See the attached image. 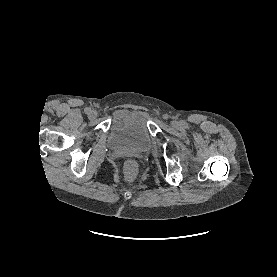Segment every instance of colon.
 Listing matches in <instances>:
<instances>
[{"label": "colon", "mask_w": 277, "mask_h": 277, "mask_svg": "<svg viewBox=\"0 0 277 277\" xmlns=\"http://www.w3.org/2000/svg\"><path fill=\"white\" fill-rule=\"evenodd\" d=\"M138 173V165L134 160H127L123 166L124 178L127 181H132L135 179Z\"/></svg>", "instance_id": "1"}]
</instances>
